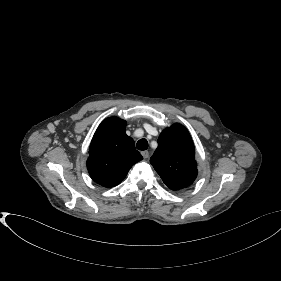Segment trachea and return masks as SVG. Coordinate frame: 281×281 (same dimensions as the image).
<instances>
[{"mask_svg": "<svg viewBox=\"0 0 281 281\" xmlns=\"http://www.w3.org/2000/svg\"><path fill=\"white\" fill-rule=\"evenodd\" d=\"M136 147L138 150H146L148 148V141L146 139H140L137 144Z\"/></svg>", "mask_w": 281, "mask_h": 281, "instance_id": "trachea-1", "label": "trachea"}]
</instances>
